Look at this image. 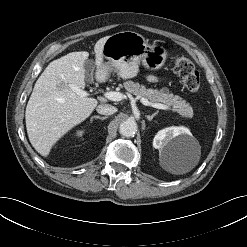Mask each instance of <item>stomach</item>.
Listing matches in <instances>:
<instances>
[{
	"mask_svg": "<svg viewBox=\"0 0 247 247\" xmlns=\"http://www.w3.org/2000/svg\"><path fill=\"white\" fill-rule=\"evenodd\" d=\"M163 46L149 45L145 38L133 31H122L108 37L103 46L104 73L114 70L123 79L133 78L140 63L149 70L162 68L167 59Z\"/></svg>",
	"mask_w": 247,
	"mask_h": 247,
	"instance_id": "0dacf381",
	"label": "stomach"
}]
</instances>
